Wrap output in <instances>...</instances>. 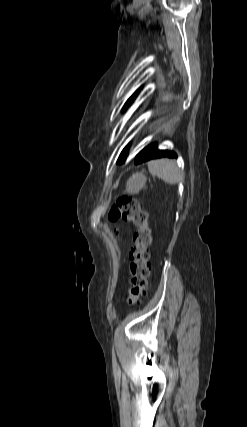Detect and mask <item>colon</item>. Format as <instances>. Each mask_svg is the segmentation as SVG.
<instances>
[{
  "mask_svg": "<svg viewBox=\"0 0 247 427\" xmlns=\"http://www.w3.org/2000/svg\"><path fill=\"white\" fill-rule=\"evenodd\" d=\"M108 218L111 222L123 220L137 227L133 237L134 246L130 252V286L127 297L129 304H137L144 297L151 271L149 247L152 238L148 213L133 197L122 196L111 206Z\"/></svg>",
  "mask_w": 247,
  "mask_h": 427,
  "instance_id": "1",
  "label": "colon"
}]
</instances>
